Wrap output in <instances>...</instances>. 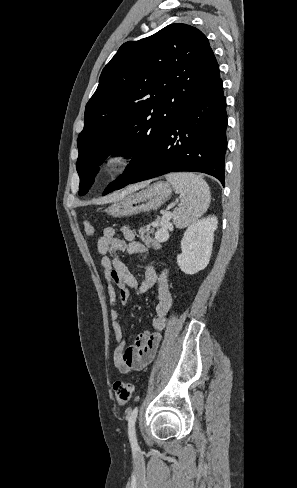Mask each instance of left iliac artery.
I'll return each mask as SVG.
<instances>
[{"label": "left iliac artery", "instance_id": "left-iliac-artery-1", "mask_svg": "<svg viewBox=\"0 0 297 488\" xmlns=\"http://www.w3.org/2000/svg\"><path fill=\"white\" fill-rule=\"evenodd\" d=\"M137 414H138V407H135L132 410L130 416L128 417V434H129V439L133 450L139 449L137 444L136 434H135V421L137 418Z\"/></svg>", "mask_w": 297, "mask_h": 488}]
</instances>
